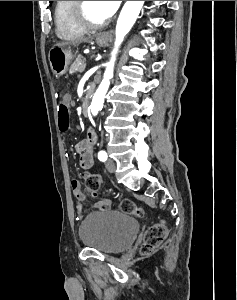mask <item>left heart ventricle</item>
Masks as SVG:
<instances>
[{
  "instance_id": "obj_1",
  "label": "left heart ventricle",
  "mask_w": 237,
  "mask_h": 300,
  "mask_svg": "<svg viewBox=\"0 0 237 300\" xmlns=\"http://www.w3.org/2000/svg\"><path fill=\"white\" fill-rule=\"evenodd\" d=\"M85 12L94 22L104 21L111 16L103 1H85Z\"/></svg>"
}]
</instances>
